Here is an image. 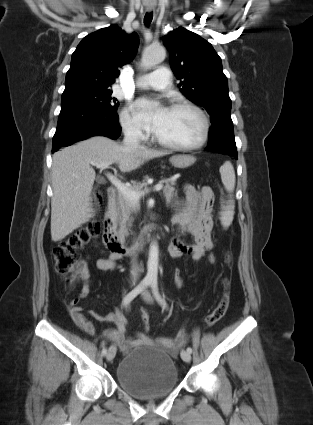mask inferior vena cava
Masks as SVG:
<instances>
[{
	"instance_id": "602c4592",
	"label": "inferior vena cava",
	"mask_w": 313,
	"mask_h": 425,
	"mask_svg": "<svg viewBox=\"0 0 313 425\" xmlns=\"http://www.w3.org/2000/svg\"><path fill=\"white\" fill-rule=\"evenodd\" d=\"M123 145L127 149H137L140 147L139 143V132L135 130L133 127H126L125 128V136L123 139ZM138 266L136 263H133L132 269H131V276L134 280L138 277Z\"/></svg>"
}]
</instances>
